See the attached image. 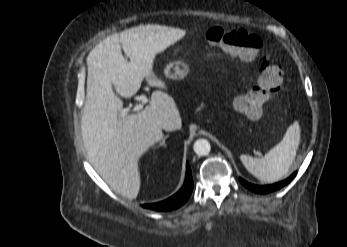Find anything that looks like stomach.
Instances as JSON below:
<instances>
[{
  "mask_svg": "<svg viewBox=\"0 0 347 247\" xmlns=\"http://www.w3.org/2000/svg\"><path fill=\"white\" fill-rule=\"evenodd\" d=\"M189 73V67L179 62L170 64L165 67L164 74L170 79H183Z\"/></svg>",
  "mask_w": 347,
  "mask_h": 247,
  "instance_id": "stomach-1",
  "label": "stomach"
}]
</instances>
